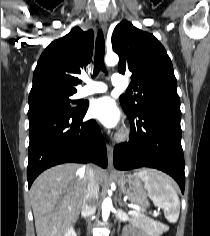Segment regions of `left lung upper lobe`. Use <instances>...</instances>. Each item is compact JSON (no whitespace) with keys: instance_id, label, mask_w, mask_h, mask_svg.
<instances>
[{"instance_id":"obj_1","label":"left lung upper lobe","mask_w":210,"mask_h":236,"mask_svg":"<svg viewBox=\"0 0 210 236\" xmlns=\"http://www.w3.org/2000/svg\"><path fill=\"white\" fill-rule=\"evenodd\" d=\"M112 47L120 58L119 72L124 74L129 70L132 73L130 87L137 92L134 96H120L127 113L135 114L151 105L180 108L171 60L152 34L122 21L113 31Z\"/></svg>"}]
</instances>
